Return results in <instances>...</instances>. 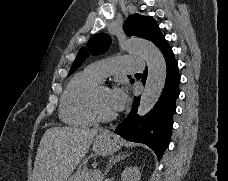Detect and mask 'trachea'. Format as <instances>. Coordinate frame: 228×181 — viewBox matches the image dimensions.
Segmentation results:
<instances>
[{"mask_svg": "<svg viewBox=\"0 0 228 181\" xmlns=\"http://www.w3.org/2000/svg\"><path fill=\"white\" fill-rule=\"evenodd\" d=\"M137 75H141V73H136Z\"/></svg>", "mask_w": 228, "mask_h": 181, "instance_id": "obj_1", "label": "trachea"}]
</instances>
